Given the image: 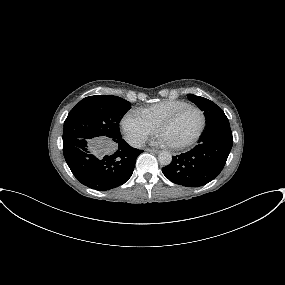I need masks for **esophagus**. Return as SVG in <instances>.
Returning a JSON list of instances; mask_svg holds the SVG:
<instances>
[{"instance_id": "obj_1", "label": "esophagus", "mask_w": 285, "mask_h": 285, "mask_svg": "<svg viewBox=\"0 0 285 285\" xmlns=\"http://www.w3.org/2000/svg\"><path fill=\"white\" fill-rule=\"evenodd\" d=\"M146 151H148V152H153V153H158V152H159V151L156 150V149H149V148H147Z\"/></svg>"}]
</instances>
